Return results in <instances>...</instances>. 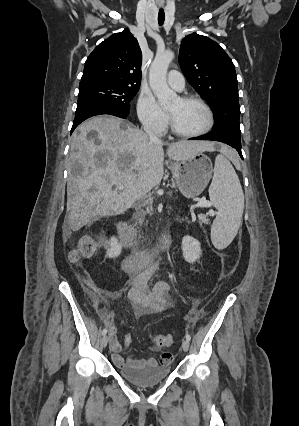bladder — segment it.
Listing matches in <instances>:
<instances>
[{
	"label": "bladder",
	"instance_id": "bladder-1",
	"mask_svg": "<svg viewBox=\"0 0 299 426\" xmlns=\"http://www.w3.org/2000/svg\"><path fill=\"white\" fill-rule=\"evenodd\" d=\"M119 374L132 385L149 388L162 383L169 376L170 368L167 366L123 368L119 370Z\"/></svg>",
	"mask_w": 299,
	"mask_h": 426
}]
</instances>
